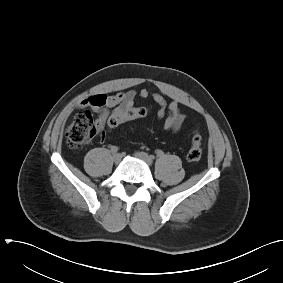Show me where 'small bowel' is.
Segmentation results:
<instances>
[{"label": "small bowel", "mask_w": 283, "mask_h": 283, "mask_svg": "<svg viewBox=\"0 0 283 283\" xmlns=\"http://www.w3.org/2000/svg\"><path fill=\"white\" fill-rule=\"evenodd\" d=\"M138 96L142 99L152 97L154 102L159 106L157 118L164 121V130L171 132L179 131L185 119V116L180 109L179 102L176 99L168 102L163 93H152L146 88H143L140 91H121L114 95H91L83 99L78 104V107L81 109L91 108L97 113L96 126L97 130L101 131L111 115L134 107L135 100Z\"/></svg>", "instance_id": "obj_1"}]
</instances>
